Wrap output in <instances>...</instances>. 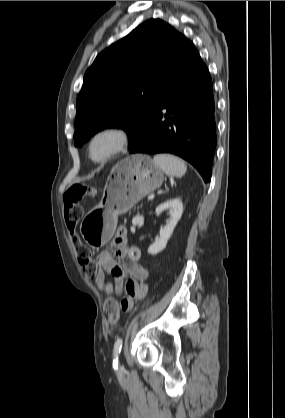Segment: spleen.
Segmentation results:
<instances>
[{
  "label": "spleen",
  "instance_id": "spleen-1",
  "mask_svg": "<svg viewBox=\"0 0 285 418\" xmlns=\"http://www.w3.org/2000/svg\"><path fill=\"white\" fill-rule=\"evenodd\" d=\"M153 162L168 176L182 177L187 171L185 162L170 154H157L154 156Z\"/></svg>",
  "mask_w": 285,
  "mask_h": 418
}]
</instances>
